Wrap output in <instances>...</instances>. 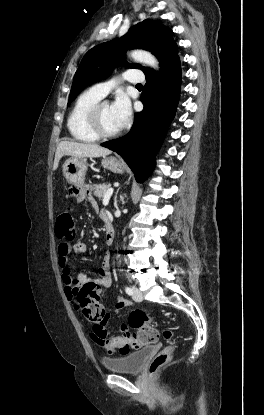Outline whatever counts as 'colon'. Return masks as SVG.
I'll list each match as a JSON object with an SVG mask.
<instances>
[{
  "label": "colon",
  "mask_w": 264,
  "mask_h": 415,
  "mask_svg": "<svg viewBox=\"0 0 264 415\" xmlns=\"http://www.w3.org/2000/svg\"><path fill=\"white\" fill-rule=\"evenodd\" d=\"M55 235L58 240L68 243L75 237L74 220L70 210L59 213ZM78 303L81 308V314L88 322L90 328L102 337L104 344L110 351L119 349L122 352L138 350L144 345L152 344L158 341L159 332L147 323V315L144 311L134 312L129 318V324L136 329L135 332L125 331L120 336L108 338L106 336L105 320L107 314L105 309L99 304V290L94 282H87L80 288ZM168 345L164 348L149 364V373L154 375L164 366L171 358L174 349L172 340L173 332L167 329L163 333Z\"/></svg>",
  "instance_id": "obj_1"
}]
</instances>
